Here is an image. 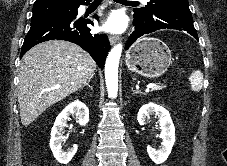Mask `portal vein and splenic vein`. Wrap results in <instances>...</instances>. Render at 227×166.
Wrapping results in <instances>:
<instances>
[{
	"label": "portal vein and splenic vein",
	"instance_id": "18ae733b",
	"mask_svg": "<svg viewBox=\"0 0 227 166\" xmlns=\"http://www.w3.org/2000/svg\"><path fill=\"white\" fill-rule=\"evenodd\" d=\"M155 86H157V84H155V83H149V84L147 85V88H153V87H155Z\"/></svg>",
	"mask_w": 227,
	"mask_h": 166
}]
</instances>
